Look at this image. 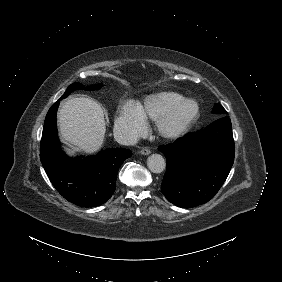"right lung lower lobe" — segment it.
Returning a JSON list of instances; mask_svg holds the SVG:
<instances>
[{"label": "right lung lower lobe", "instance_id": "right-lung-lower-lobe-1", "mask_svg": "<svg viewBox=\"0 0 282 282\" xmlns=\"http://www.w3.org/2000/svg\"><path fill=\"white\" fill-rule=\"evenodd\" d=\"M61 97L48 111L40 144L42 165L56 190L83 207L105 203L114 193L118 170L131 150L110 148L95 156L68 158L60 149L56 112Z\"/></svg>", "mask_w": 282, "mask_h": 282}]
</instances>
